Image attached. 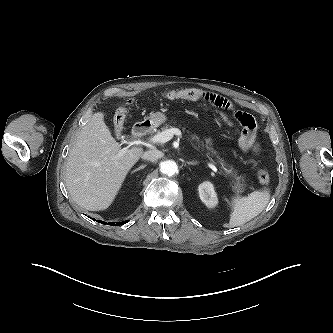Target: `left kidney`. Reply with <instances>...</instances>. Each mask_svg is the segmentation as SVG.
I'll use <instances>...</instances> for the list:
<instances>
[{"label": "left kidney", "instance_id": "obj_1", "mask_svg": "<svg viewBox=\"0 0 333 333\" xmlns=\"http://www.w3.org/2000/svg\"><path fill=\"white\" fill-rule=\"evenodd\" d=\"M201 201L209 208H214L218 204L217 194L211 182H203L198 186Z\"/></svg>", "mask_w": 333, "mask_h": 333}]
</instances>
